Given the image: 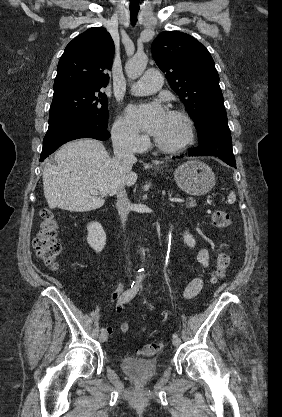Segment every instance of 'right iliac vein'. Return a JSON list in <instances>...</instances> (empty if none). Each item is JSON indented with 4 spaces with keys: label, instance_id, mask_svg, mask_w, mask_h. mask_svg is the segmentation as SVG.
Masks as SVG:
<instances>
[{
    "label": "right iliac vein",
    "instance_id": "obj_1",
    "mask_svg": "<svg viewBox=\"0 0 282 417\" xmlns=\"http://www.w3.org/2000/svg\"><path fill=\"white\" fill-rule=\"evenodd\" d=\"M99 340L101 342H105L107 340V334L106 333L100 334Z\"/></svg>",
    "mask_w": 282,
    "mask_h": 417
}]
</instances>
